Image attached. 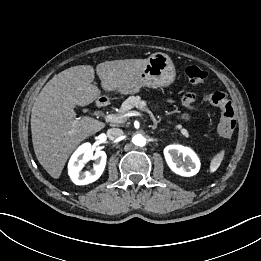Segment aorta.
I'll use <instances>...</instances> for the list:
<instances>
[{
	"instance_id": "762f6f07",
	"label": "aorta",
	"mask_w": 261,
	"mask_h": 261,
	"mask_svg": "<svg viewBox=\"0 0 261 261\" xmlns=\"http://www.w3.org/2000/svg\"><path fill=\"white\" fill-rule=\"evenodd\" d=\"M132 142L137 146H144L146 140L141 134H136L135 136H133Z\"/></svg>"
}]
</instances>
